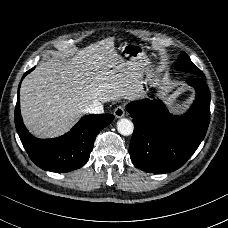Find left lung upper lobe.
<instances>
[{
	"mask_svg": "<svg viewBox=\"0 0 228 228\" xmlns=\"http://www.w3.org/2000/svg\"><path fill=\"white\" fill-rule=\"evenodd\" d=\"M175 68L179 71L191 73L196 78H205L203 72L193 64L189 56L184 52L179 55L175 63Z\"/></svg>",
	"mask_w": 228,
	"mask_h": 228,
	"instance_id": "left-lung-upper-lobe-1",
	"label": "left lung upper lobe"
}]
</instances>
